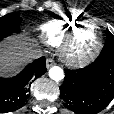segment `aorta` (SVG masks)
<instances>
[{
  "label": "aorta",
  "mask_w": 114,
  "mask_h": 114,
  "mask_svg": "<svg viewBox=\"0 0 114 114\" xmlns=\"http://www.w3.org/2000/svg\"><path fill=\"white\" fill-rule=\"evenodd\" d=\"M49 76L54 81H60L64 78V71L62 68L54 66L50 68Z\"/></svg>",
  "instance_id": "obj_1"
}]
</instances>
